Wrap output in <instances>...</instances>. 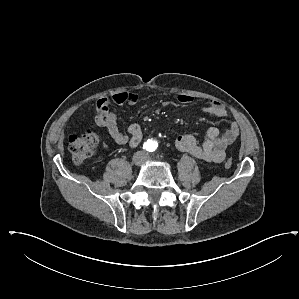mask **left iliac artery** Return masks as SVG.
Wrapping results in <instances>:
<instances>
[{
    "instance_id": "44dca946",
    "label": "left iliac artery",
    "mask_w": 299,
    "mask_h": 299,
    "mask_svg": "<svg viewBox=\"0 0 299 299\" xmlns=\"http://www.w3.org/2000/svg\"><path fill=\"white\" fill-rule=\"evenodd\" d=\"M157 146H158V144H157V143H155V142H152V143L150 144V151H155V150H156V148H157Z\"/></svg>"
}]
</instances>
